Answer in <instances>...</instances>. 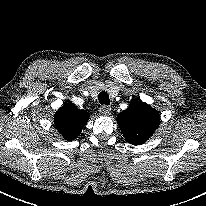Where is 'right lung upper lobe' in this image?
<instances>
[{
	"label": "right lung upper lobe",
	"instance_id": "right-lung-upper-lobe-1",
	"mask_svg": "<svg viewBox=\"0 0 206 206\" xmlns=\"http://www.w3.org/2000/svg\"><path fill=\"white\" fill-rule=\"evenodd\" d=\"M89 119V113L78 109L69 103L61 107L54 116L56 129L62 134L65 140H74Z\"/></svg>",
	"mask_w": 206,
	"mask_h": 206
}]
</instances>
